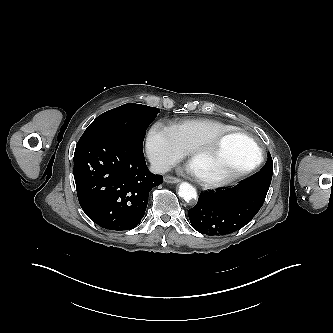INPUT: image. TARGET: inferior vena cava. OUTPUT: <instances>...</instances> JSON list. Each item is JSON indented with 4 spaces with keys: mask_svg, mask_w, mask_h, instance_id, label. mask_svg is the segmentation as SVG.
Returning <instances> with one entry per match:
<instances>
[{
    "mask_svg": "<svg viewBox=\"0 0 333 333\" xmlns=\"http://www.w3.org/2000/svg\"><path fill=\"white\" fill-rule=\"evenodd\" d=\"M170 168H171V165L165 160H161V159H157V158L150 160V171L155 174L165 173V172L169 171Z\"/></svg>",
    "mask_w": 333,
    "mask_h": 333,
    "instance_id": "obj_1",
    "label": "inferior vena cava"
}]
</instances>
